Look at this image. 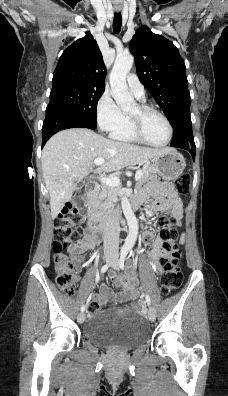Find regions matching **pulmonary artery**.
<instances>
[{
  "label": "pulmonary artery",
  "mask_w": 228,
  "mask_h": 396,
  "mask_svg": "<svg viewBox=\"0 0 228 396\" xmlns=\"http://www.w3.org/2000/svg\"><path fill=\"white\" fill-rule=\"evenodd\" d=\"M127 84L131 92L139 99L145 96L144 86L140 82L136 74H129L126 78Z\"/></svg>",
  "instance_id": "e3ab8cb5"
}]
</instances>
